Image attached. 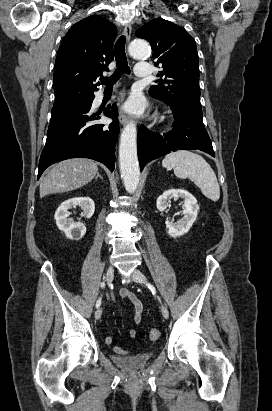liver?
<instances>
[{
  "instance_id": "1",
  "label": "liver",
  "mask_w": 272,
  "mask_h": 411,
  "mask_svg": "<svg viewBox=\"0 0 272 411\" xmlns=\"http://www.w3.org/2000/svg\"><path fill=\"white\" fill-rule=\"evenodd\" d=\"M97 171V163L87 158H74L59 162L41 180L40 197L80 188L90 182Z\"/></svg>"
}]
</instances>
